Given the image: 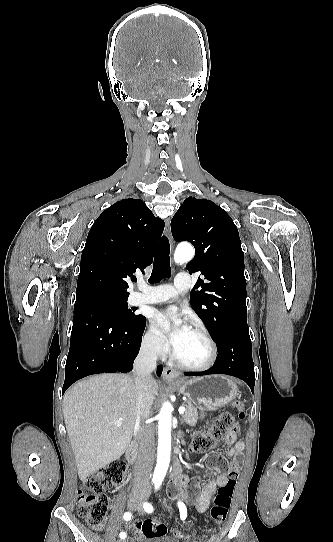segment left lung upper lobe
Here are the masks:
<instances>
[{
  "mask_svg": "<svg viewBox=\"0 0 333 542\" xmlns=\"http://www.w3.org/2000/svg\"><path fill=\"white\" fill-rule=\"evenodd\" d=\"M171 231L177 242L195 247L186 269L200 271L205 279L198 278L190 304L216 344L229 329L247 328L244 253L232 218L212 201L188 197L174 215Z\"/></svg>",
  "mask_w": 333,
  "mask_h": 542,
  "instance_id": "5c2ea615",
  "label": "left lung upper lobe"
}]
</instances>
